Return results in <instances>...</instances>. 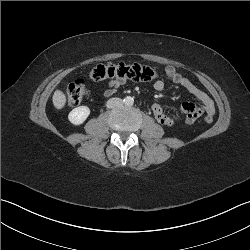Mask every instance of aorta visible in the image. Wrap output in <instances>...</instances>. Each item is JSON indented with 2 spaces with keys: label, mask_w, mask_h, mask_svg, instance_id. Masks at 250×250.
<instances>
[{
  "label": "aorta",
  "mask_w": 250,
  "mask_h": 250,
  "mask_svg": "<svg viewBox=\"0 0 250 250\" xmlns=\"http://www.w3.org/2000/svg\"><path fill=\"white\" fill-rule=\"evenodd\" d=\"M134 103L133 97L127 96L124 98V104L127 106H132Z\"/></svg>",
  "instance_id": "aorta-1"
}]
</instances>
